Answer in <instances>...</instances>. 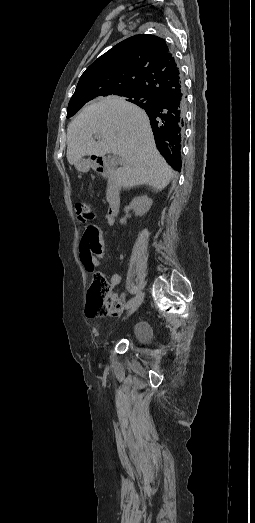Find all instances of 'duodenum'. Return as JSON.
<instances>
[{
	"instance_id": "duodenum-1",
	"label": "duodenum",
	"mask_w": 255,
	"mask_h": 523,
	"mask_svg": "<svg viewBox=\"0 0 255 523\" xmlns=\"http://www.w3.org/2000/svg\"><path fill=\"white\" fill-rule=\"evenodd\" d=\"M89 168L107 179L106 201L108 204V220L113 224L120 210L121 185L115 166L106 158L92 155L88 159Z\"/></svg>"
}]
</instances>
